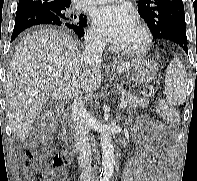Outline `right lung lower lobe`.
Instances as JSON below:
<instances>
[{
    "label": "right lung lower lobe",
    "mask_w": 197,
    "mask_h": 181,
    "mask_svg": "<svg viewBox=\"0 0 197 181\" xmlns=\"http://www.w3.org/2000/svg\"><path fill=\"white\" fill-rule=\"evenodd\" d=\"M35 25L66 26L72 29L79 37L84 35L85 26L63 22L46 7L34 3L19 2L15 17V28L12 33L13 41L22 31Z\"/></svg>",
    "instance_id": "1"
}]
</instances>
